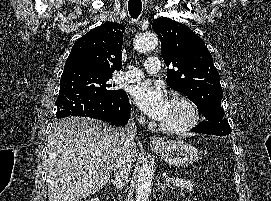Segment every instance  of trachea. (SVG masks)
<instances>
[{"label":"trachea","instance_id":"trachea-1","mask_svg":"<svg viewBox=\"0 0 271 201\" xmlns=\"http://www.w3.org/2000/svg\"><path fill=\"white\" fill-rule=\"evenodd\" d=\"M128 10L132 18H137L142 11V2L141 0H129L128 1Z\"/></svg>","mask_w":271,"mask_h":201}]
</instances>
